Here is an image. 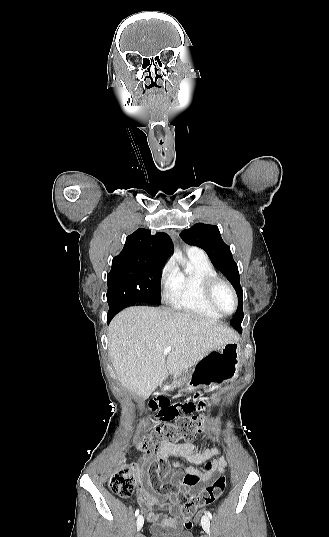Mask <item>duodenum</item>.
<instances>
[{
	"instance_id": "1",
	"label": "duodenum",
	"mask_w": 329,
	"mask_h": 537,
	"mask_svg": "<svg viewBox=\"0 0 329 537\" xmlns=\"http://www.w3.org/2000/svg\"><path fill=\"white\" fill-rule=\"evenodd\" d=\"M175 385V381L173 379H168L166 382H165V389L169 390L171 388H173ZM152 407L155 409V408H159V407H163V398L162 397H157L155 398L153 401H152Z\"/></svg>"
}]
</instances>
